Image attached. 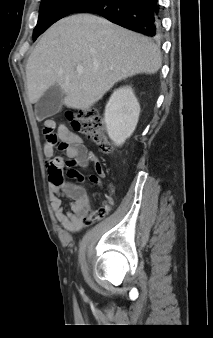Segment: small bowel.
<instances>
[{
	"label": "small bowel",
	"mask_w": 213,
	"mask_h": 338,
	"mask_svg": "<svg viewBox=\"0 0 213 338\" xmlns=\"http://www.w3.org/2000/svg\"><path fill=\"white\" fill-rule=\"evenodd\" d=\"M45 136L44 155L46 166L55 160L59 166L64 162L75 161L79 166L86 167L90 162L98 163V157L94 152L88 151L81 138L72 132L66 125L56 126L53 120H45L43 124ZM56 141L66 144L63 156L56 153ZM51 209L61 226L69 232L79 231L87 223L91 222L92 212L89 211L90 196L86 188L69 181L60 185H52L49 188ZM69 201V209L63 206L62 199ZM110 203L113 200L106 198Z\"/></svg>",
	"instance_id": "small-bowel-1"
}]
</instances>
